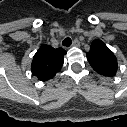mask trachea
<instances>
[{
    "instance_id": "trachea-1",
    "label": "trachea",
    "mask_w": 127,
    "mask_h": 127,
    "mask_svg": "<svg viewBox=\"0 0 127 127\" xmlns=\"http://www.w3.org/2000/svg\"><path fill=\"white\" fill-rule=\"evenodd\" d=\"M71 43H72V41L69 37H66L62 42L63 46H66V47H69L71 45Z\"/></svg>"
}]
</instances>
